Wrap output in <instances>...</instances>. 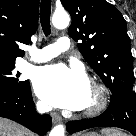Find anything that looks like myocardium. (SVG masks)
<instances>
[{"label": "myocardium", "instance_id": "myocardium-1", "mask_svg": "<svg viewBox=\"0 0 136 136\" xmlns=\"http://www.w3.org/2000/svg\"><path fill=\"white\" fill-rule=\"evenodd\" d=\"M89 86L94 92V100L89 106L83 108L82 113L93 116L101 113L106 108L108 95L105 87L95 80H91Z\"/></svg>", "mask_w": 136, "mask_h": 136}]
</instances>
